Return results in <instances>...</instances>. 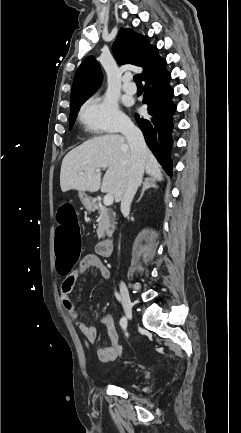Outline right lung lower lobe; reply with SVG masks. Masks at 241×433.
Returning <instances> with one entry per match:
<instances>
[{"instance_id": "right-lung-lower-lobe-1", "label": "right lung lower lobe", "mask_w": 241, "mask_h": 433, "mask_svg": "<svg viewBox=\"0 0 241 433\" xmlns=\"http://www.w3.org/2000/svg\"><path fill=\"white\" fill-rule=\"evenodd\" d=\"M170 73L165 65L144 79L143 103L148 105V116L135 115L145 141L167 174H172L171 151L173 148V115L176 105L172 102L173 89L169 86Z\"/></svg>"}]
</instances>
